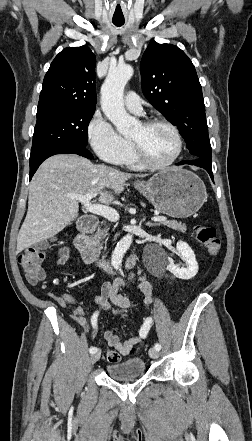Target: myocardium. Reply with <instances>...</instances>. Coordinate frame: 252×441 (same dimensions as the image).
Segmentation results:
<instances>
[{"label":"myocardium","mask_w":252,"mask_h":441,"mask_svg":"<svg viewBox=\"0 0 252 441\" xmlns=\"http://www.w3.org/2000/svg\"><path fill=\"white\" fill-rule=\"evenodd\" d=\"M141 124L145 128H151L153 126H158V125L165 126V127L169 128L175 136V139L177 142V148H176L175 154L168 161L162 162V163H153L152 161H150L146 157V155L144 154L141 147L135 141L131 140L132 148H133V151L135 153L137 160L141 163V165L143 167L148 168V169H152V170L164 169V168H167V167L173 165L179 159V157L181 156V154L183 152V139H182V136H181L179 129L170 121H167L165 119H160V118L149 119V120L143 121Z\"/></svg>","instance_id":"obj_1"}]
</instances>
